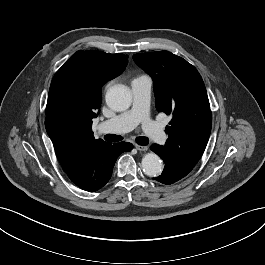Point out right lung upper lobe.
Segmentation results:
<instances>
[{
    "label": "right lung upper lobe",
    "mask_w": 265,
    "mask_h": 265,
    "mask_svg": "<svg viewBox=\"0 0 265 265\" xmlns=\"http://www.w3.org/2000/svg\"><path fill=\"white\" fill-rule=\"evenodd\" d=\"M127 57L95 50L78 51L60 68L70 73L73 85L82 92L80 101L67 113L46 107V131L63 170L74 166L93 146L105 143L94 138L92 120L100 110L101 87L124 71Z\"/></svg>",
    "instance_id": "cb5924a9"
}]
</instances>
